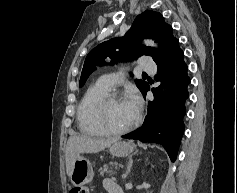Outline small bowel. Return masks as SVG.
I'll use <instances>...</instances> for the list:
<instances>
[{"label": "small bowel", "mask_w": 237, "mask_h": 193, "mask_svg": "<svg viewBox=\"0 0 237 193\" xmlns=\"http://www.w3.org/2000/svg\"><path fill=\"white\" fill-rule=\"evenodd\" d=\"M104 187L109 191V193H121L119 186L111 179H106L104 181Z\"/></svg>", "instance_id": "obj_1"}]
</instances>
